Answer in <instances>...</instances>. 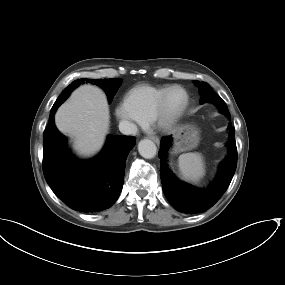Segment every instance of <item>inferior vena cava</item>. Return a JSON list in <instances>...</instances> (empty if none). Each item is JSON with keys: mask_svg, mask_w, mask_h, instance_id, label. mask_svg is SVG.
Wrapping results in <instances>:
<instances>
[{"mask_svg": "<svg viewBox=\"0 0 285 285\" xmlns=\"http://www.w3.org/2000/svg\"><path fill=\"white\" fill-rule=\"evenodd\" d=\"M119 130L124 135H136L138 132L137 126L127 120H122L119 123Z\"/></svg>", "mask_w": 285, "mask_h": 285, "instance_id": "inferior-vena-cava-1", "label": "inferior vena cava"}]
</instances>
